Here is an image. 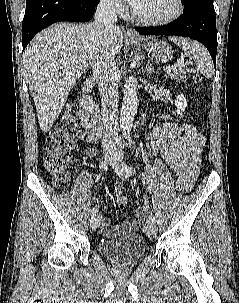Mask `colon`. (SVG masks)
I'll use <instances>...</instances> for the list:
<instances>
[{
	"label": "colon",
	"instance_id": "obj_1",
	"mask_svg": "<svg viewBox=\"0 0 239 303\" xmlns=\"http://www.w3.org/2000/svg\"><path fill=\"white\" fill-rule=\"evenodd\" d=\"M195 81L199 83L201 76L196 75ZM77 122V108L68 106L47 139L44 168L52 176L53 184L58 189L67 187L69 183V169L72 165L71 151L74 148ZM126 204L125 196L117 199L118 208L123 209ZM139 225L140 222L137 220L136 227Z\"/></svg>",
	"mask_w": 239,
	"mask_h": 303
}]
</instances>
